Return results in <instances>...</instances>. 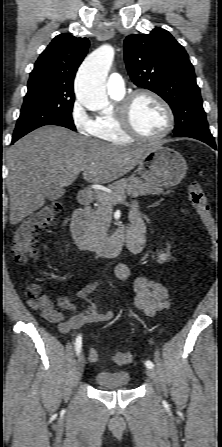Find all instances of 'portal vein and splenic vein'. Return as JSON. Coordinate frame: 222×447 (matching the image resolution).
<instances>
[{"mask_svg":"<svg viewBox=\"0 0 222 447\" xmlns=\"http://www.w3.org/2000/svg\"><path fill=\"white\" fill-rule=\"evenodd\" d=\"M125 198H126V196H118V197L112 199V202L115 203V204L116 203H121V202H123L125 200Z\"/></svg>","mask_w":222,"mask_h":447,"instance_id":"1","label":"portal vein and splenic vein"}]
</instances>
